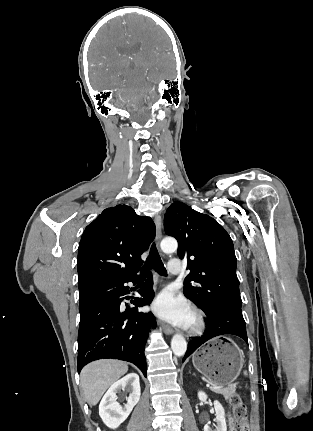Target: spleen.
Instances as JSON below:
<instances>
[{
    "label": "spleen",
    "instance_id": "1",
    "mask_svg": "<svg viewBox=\"0 0 313 431\" xmlns=\"http://www.w3.org/2000/svg\"><path fill=\"white\" fill-rule=\"evenodd\" d=\"M244 374L247 375V372L245 371Z\"/></svg>",
    "mask_w": 313,
    "mask_h": 431
}]
</instances>
